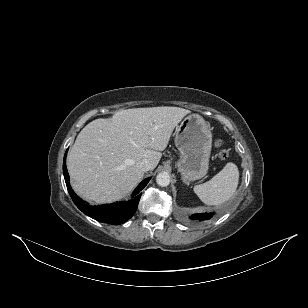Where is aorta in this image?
Wrapping results in <instances>:
<instances>
[{
    "mask_svg": "<svg viewBox=\"0 0 308 308\" xmlns=\"http://www.w3.org/2000/svg\"><path fill=\"white\" fill-rule=\"evenodd\" d=\"M170 175L166 172H161L156 177V182L161 187H166L170 184Z\"/></svg>",
    "mask_w": 308,
    "mask_h": 308,
    "instance_id": "obj_1",
    "label": "aorta"
}]
</instances>
